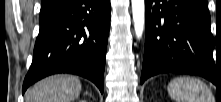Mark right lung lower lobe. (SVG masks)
<instances>
[{
  "label": "right lung lower lobe",
  "instance_id": "98d812e1",
  "mask_svg": "<svg viewBox=\"0 0 221 102\" xmlns=\"http://www.w3.org/2000/svg\"><path fill=\"white\" fill-rule=\"evenodd\" d=\"M110 13V0H65L40 16L33 61L22 93L57 73L85 77L103 93Z\"/></svg>",
  "mask_w": 221,
  "mask_h": 102
}]
</instances>
